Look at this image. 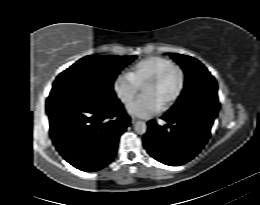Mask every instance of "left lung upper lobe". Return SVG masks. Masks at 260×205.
Masks as SVG:
<instances>
[{"mask_svg":"<svg viewBox=\"0 0 260 205\" xmlns=\"http://www.w3.org/2000/svg\"><path fill=\"white\" fill-rule=\"evenodd\" d=\"M184 70V89L169 114H197L209 119H215L219 102L217 97V83L207 68L197 59L182 55L171 54Z\"/></svg>","mask_w":260,"mask_h":205,"instance_id":"1","label":"left lung upper lobe"}]
</instances>
